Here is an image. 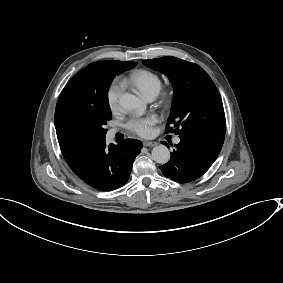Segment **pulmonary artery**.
<instances>
[{"label": "pulmonary artery", "instance_id": "pulmonary-artery-1", "mask_svg": "<svg viewBox=\"0 0 283 283\" xmlns=\"http://www.w3.org/2000/svg\"><path fill=\"white\" fill-rule=\"evenodd\" d=\"M149 101L153 100L155 98L154 94H148L145 96ZM117 128H111L107 132V142H111L117 132Z\"/></svg>", "mask_w": 283, "mask_h": 283}]
</instances>
